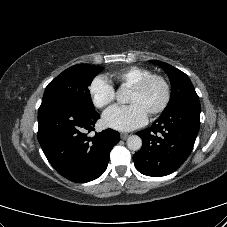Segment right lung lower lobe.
<instances>
[{
  "label": "right lung lower lobe",
  "instance_id": "right-lung-lower-lobe-1",
  "mask_svg": "<svg viewBox=\"0 0 227 227\" xmlns=\"http://www.w3.org/2000/svg\"><path fill=\"white\" fill-rule=\"evenodd\" d=\"M99 118L97 112L68 101L41 104L38 141L49 163L63 177L85 183L106 170L120 135L112 129L89 135Z\"/></svg>",
  "mask_w": 227,
  "mask_h": 227
}]
</instances>
